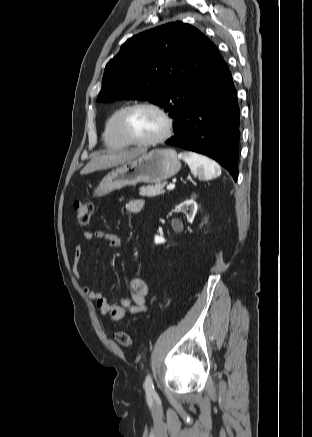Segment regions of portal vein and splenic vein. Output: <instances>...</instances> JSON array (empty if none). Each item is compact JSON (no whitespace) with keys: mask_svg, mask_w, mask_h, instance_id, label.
I'll list each match as a JSON object with an SVG mask.
<instances>
[{"mask_svg":"<svg viewBox=\"0 0 312 437\" xmlns=\"http://www.w3.org/2000/svg\"><path fill=\"white\" fill-rule=\"evenodd\" d=\"M174 187H175V185L174 184H169V185H167V190H172V189H174Z\"/></svg>","mask_w":312,"mask_h":437,"instance_id":"1","label":"portal vein and splenic vein"}]
</instances>
